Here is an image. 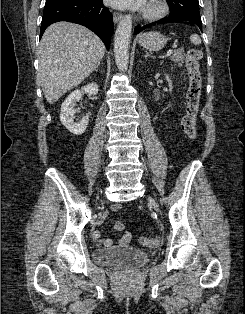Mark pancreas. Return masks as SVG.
I'll return each instance as SVG.
<instances>
[{
  "mask_svg": "<svg viewBox=\"0 0 245 314\" xmlns=\"http://www.w3.org/2000/svg\"><path fill=\"white\" fill-rule=\"evenodd\" d=\"M185 55L183 54V49H179L174 52L173 56L171 57V60L174 62H177L179 67L182 66V63L184 62Z\"/></svg>",
  "mask_w": 245,
  "mask_h": 314,
  "instance_id": "cf45deb5",
  "label": "pancreas"
}]
</instances>
